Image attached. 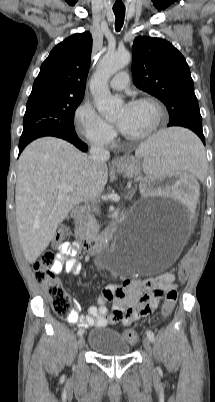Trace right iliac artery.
<instances>
[{"instance_id":"right-iliac-artery-1","label":"right iliac artery","mask_w":215,"mask_h":402,"mask_svg":"<svg viewBox=\"0 0 215 402\" xmlns=\"http://www.w3.org/2000/svg\"><path fill=\"white\" fill-rule=\"evenodd\" d=\"M83 333H84V330L80 329L77 334H78V336H82Z\"/></svg>"}]
</instances>
